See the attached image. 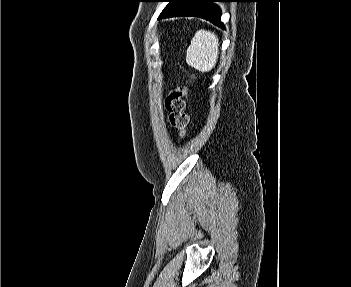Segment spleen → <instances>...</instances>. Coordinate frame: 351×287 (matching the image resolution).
Listing matches in <instances>:
<instances>
[{"mask_svg":"<svg viewBox=\"0 0 351 287\" xmlns=\"http://www.w3.org/2000/svg\"><path fill=\"white\" fill-rule=\"evenodd\" d=\"M219 53V40L217 36L206 30H199L195 33L191 44L187 49L186 62L191 67L208 72L217 63Z\"/></svg>","mask_w":351,"mask_h":287,"instance_id":"obj_1","label":"spleen"}]
</instances>
